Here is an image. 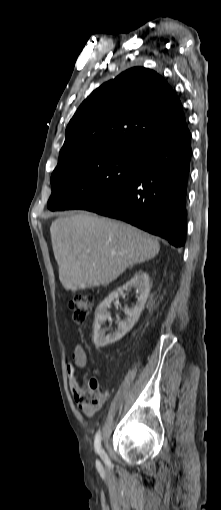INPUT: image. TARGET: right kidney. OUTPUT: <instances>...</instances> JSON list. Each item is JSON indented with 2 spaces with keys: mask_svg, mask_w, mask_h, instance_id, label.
Here are the masks:
<instances>
[{
  "mask_svg": "<svg viewBox=\"0 0 221 510\" xmlns=\"http://www.w3.org/2000/svg\"><path fill=\"white\" fill-rule=\"evenodd\" d=\"M131 288H136V292L138 293L136 305L133 308H125V313L127 315L125 320L118 322V327L115 332L105 336V331L101 329V326L110 317L107 310L110 303L114 299L118 298L119 293ZM149 292V276L144 272H139L136 273L133 278L130 279L125 285L110 293L109 296L100 303L95 312V321L93 325V342L97 348L105 347L109 344L115 343L133 328L135 323L138 321L142 310L144 309Z\"/></svg>",
  "mask_w": 221,
  "mask_h": 510,
  "instance_id": "1",
  "label": "right kidney"
}]
</instances>
